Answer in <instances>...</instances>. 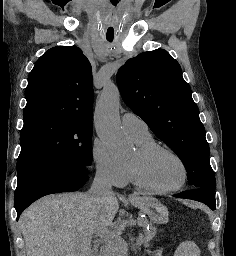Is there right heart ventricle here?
Returning <instances> with one entry per match:
<instances>
[{"instance_id": "obj_1", "label": "right heart ventricle", "mask_w": 236, "mask_h": 256, "mask_svg": "<svg viewBox=\"0 0 236 256\" xmlns=\"http://www.w3.org/2000/svg\"><path fill=\"white\" fill-rule=\"evenodd\" d=\"M134 140H135L136 144L139 147H146V146H150V145L155 144V141H154V139L152 138L151 135H149L145 138L134 139ZM128 173H129V182H131L133 184H136L135 181H134V178H133V175H132V172H131V169H130L129 165H128Z\"/></svg>"}]
</instances>
